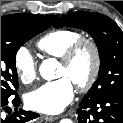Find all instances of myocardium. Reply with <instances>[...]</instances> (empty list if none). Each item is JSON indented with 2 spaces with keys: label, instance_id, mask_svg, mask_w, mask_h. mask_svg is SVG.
Returning <instances> with one entry per match:
<instances>
[{
  "label": "myocardium",
  "instance_id": "myocardium-1",
  "mask_svg": "<svg viewBox=\"0 0 123 123\" xmlns=\"http://www.w3.org/2000/svg\"><path fill=\"white\" fill-rule=\"evenodd\" d=\"M83 49H89L92 54V69L84 81L75 85L80 91H87L97 81L102 67L101 52L97 42L89 37L79 38L66 50L64 55L60 58V64L65 67H70Z\"/></svg>",
  "mask_w": 123,
  "mask_h": 123
}]
</instances>
